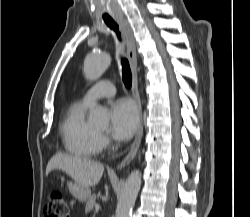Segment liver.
<instances>
[{
  "label": "liver",
  "instance_id": "obj_1",
  "mask_svg": "<svg viewBox=\"0 0 250 217\" xmlns=\"http://www.w3.org/2000/svg\"><path fill=\"white\" fill-rule=\"evenodd\" d=\"M55 169L65 172L79 186L88 188L97 185L104 172V166L98 162L63 153H56L50 159L46 167V175Z\"/></svg>",
  "mask_w": 250,
  "mask_h": 217
}]
</instances>
